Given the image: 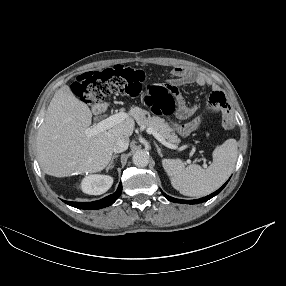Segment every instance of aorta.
<instances>
[{"label":"aorta","instance_id":"1","mask_svg":"<svg viewBox=\"0 0 286 286\" xmlns=\"http://www.w3.org/2000/svg\"><path fill=\"white\" fill-rule=\"evenodd\" d=\"M149 154L144 150L136 151L133 154V163L138 167H146L149 163Z\"/></svg>","mask_w":286,"mask_h":286}]
</instances>
